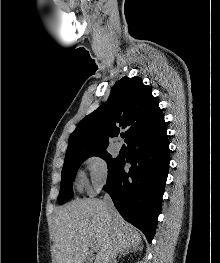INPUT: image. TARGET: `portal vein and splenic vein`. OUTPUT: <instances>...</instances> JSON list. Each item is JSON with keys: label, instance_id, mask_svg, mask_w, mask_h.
Instances as JSON below:
<instances>
[{"label": "portal vein and splenic vein", "instance_id": "18ae733b", "mask_svg": "<svg viewBox=\"0 0 220 263\" xmlns=\"http://www.w3.org/2000/svg\"><path fill=\"white\" fill-rule=\"evenodd\" d=\"M93 249H94L95 251L97 250V245H96V244L93 246Z\"/></svg>", "mask_w": 220, "mask_h": 263}]
</instances>
